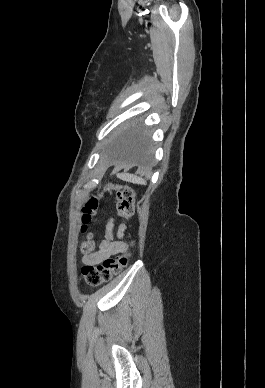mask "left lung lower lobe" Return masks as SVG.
<instances>
[{
  "instance_id": "0a47b994",
  "label": "left lung lower lobe",
  "mask_w": 265,
  "mask_h": 388,
  "mask_svg": "<svg viewBox=\"0 0 265 388\" xmlns=\"http://www.w3.org/2000/svg\"><path fill=\"white\" fill-rule=\"evenodd\" d=\"M114 155L121 160L139 164L149 162L146 134L137 127L124 130L112 145Z\"/></svg>"
}]
</instances>
